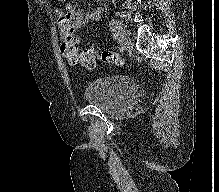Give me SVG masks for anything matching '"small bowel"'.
Returning <instances> with one entry per match:
<instances>
[{"mask_svg":"<svg viewBox=\"0 0 219 192\" xmlns=\"http://www.w3.org/2000/svg\"><path fill=\"white\" fill-rule=\"evenodd\" d=\"M101 2L102 0H97ZM59 3H65L64 9L57 11V21L61 29V34L64 39L68 34H73L83 28L85 24L89 21L98 22L101 19L103 13L102 7H97L96 9L84 13L83 11L77 9L75 3L72 0H57ZM77 37L78 45L80 43V38Z\"/></svg>","mask_w":219,"mask_h":192,"instance_id":"c3829d8e","label":"small bowel"}]
</instances>
